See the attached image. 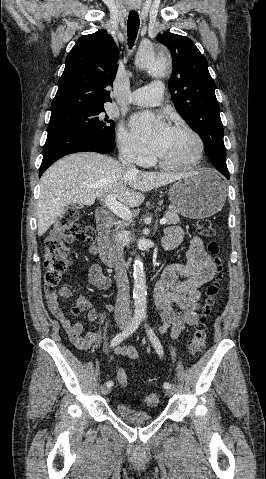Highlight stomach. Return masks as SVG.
I'll list each match as a JSON object with an SVG mask.
<instances>
[{"label":"stomach","instance_id":"1","mask_svg":"<svg viewBox=\"0 0 266 479\" xmlns=\"http://www.w3.org/2000/svg\"><path fill=\"white\" fill-rule=\"evenodd\" d=\"M173 209L190 219L217 213L226 199V186L211 169H200L179 179L169 191Z\"/></svg>","mask_w":266,"mask_h":479}]
</instances>
